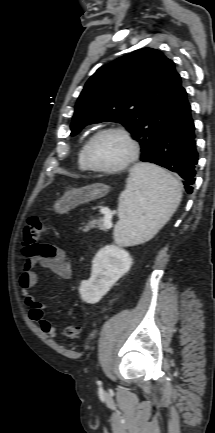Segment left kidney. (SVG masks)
Returning <instances> with one entry per match:
<instances>
[{
  "label": "left kidney",
  "instance_id": "1",
  "mask_svg": "<svg viewBox=\"0 0 215 433\" xmlns=\"http://www.w3.org/2000/svg\"><path fill=\"white\" fill-rule=\"evenodd\" d=\"M131 265L132 258L126 250L115 245L100 249L92 261L91 278L80 283L81 299L88 304L99 302Z\"/></svg>",
  "mask_w": 215,
  "mask_h": 433
}]
</instances>
